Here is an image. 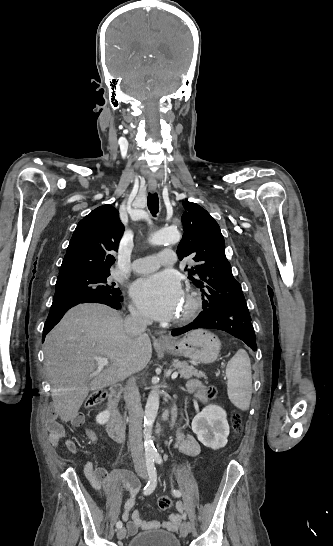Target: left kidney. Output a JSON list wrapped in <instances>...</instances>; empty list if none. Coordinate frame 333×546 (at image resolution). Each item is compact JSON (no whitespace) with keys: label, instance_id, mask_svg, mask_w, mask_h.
I'll use <instances>...</instances> for the list:
<instances>
[{"label":"left kidney","instance_id":"left-kidney-1","mask_svg":"<svg viewBox=\"0 0 333 546\" xmlns=\"http://www.w3.org/2000/svg\"><path fill=\"white\" fill-rule=\"evenodd\" d=\"M192 430L206 447H225L229 435L226 412L217 405H207L192 421Z\"/></svg>","mask_w":333,"mask_h":546}]
</instances>
